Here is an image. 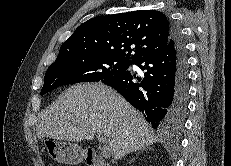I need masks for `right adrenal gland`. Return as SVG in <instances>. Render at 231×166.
Returning <instances> with one entry per match:
<instances>
[{"label": "right adrenal gland", "instance_id": "2a0ac1e0", "mask_svg": "<svg viewBox=\"0 0 231 166\" xmlns=\"http://www.w3.org/2000/svg\"><path fill=\"white\" fill-rule=\"evenodd\" d=\"M147 150H153V149H152V147H150V146L148 147V146H147V147L143 148L140 152H138L137 156H138L141 152L147 151ZM133 160H135V158H134Z\"/></svg>", "mask_w": 231, "mask_h": 166}]
</instances>
